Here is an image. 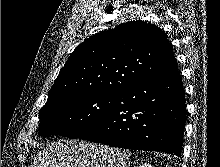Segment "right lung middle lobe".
I'll list each match as a JSON object with an SVG mask.
<instances>
[{"label":"right lung middle lobe","mask_w":220,"mask_h":167,"mask_svg":"<svg viewBox=\"0 0 220 167\" xmlns=\"http://www.w3.org/2000/svg\"><path fill=\"white\" fill-rule=\"evenodd\" d=\"M117 93L74 92L47 101L39 112V134L78 138L92 129L112 106Z\"/></svg>","instance_id":"obj_1"}]
</instances>
